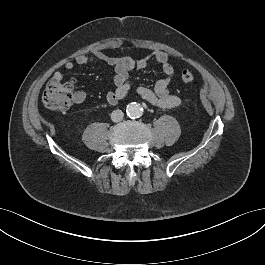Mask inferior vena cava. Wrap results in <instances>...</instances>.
Returning a JSON list of instances; mask_svg holds the SVG:
<instances>
[{
	"mask_svg": "<svg viewBox=\"0 0 265 265\" xmlns=\"http://www.w3.org/2000/svg\"><path fill=\"white\" fill-rule=\"evenodd\" d=\"M124 117V114L121 110L117 109V110H114L112 113H111V120L113 122H120Z\"/></svg>",
	"mask_w": 265,
	"mask_h": 265,
	"instance_id": "obj_1",
	"label": "inferior vena cava"
}]
</instances>
